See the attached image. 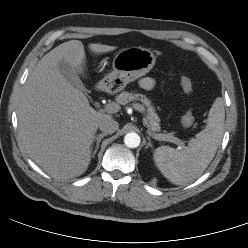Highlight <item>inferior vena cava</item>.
<instances>
[{"mask_svg":"<svg viewBox=\"0 0 248 248\" xmlns=\"http://www.w3.org/2000/svg\"><path fill=\"white\" fill-rule=\"evenodd\" d=\"M99 128L104 134H112L119 128V124L111 117H108L100 121Z\"/></svg>","mask_w":248,"mask_h":248,"instance_id":"602c4592","label":"inferior vena cava"}]
</instances>
